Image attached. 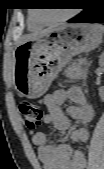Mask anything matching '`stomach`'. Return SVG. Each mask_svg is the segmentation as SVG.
Masks as SVG:
<instances>
[{
    "label": "stomach",
    "mask_w": 104,
    "mask_h": 169,
    "mask_svg": "<svg viewBox=\"0 0 104 169\" xmlns=\"http://www.w3.org/2000/svg\"><path fill=\"white\" fill-rule=\"evenodd\" d=\"M102 38L98 25L65 24L21 43L15 51V89L27 98L42 96L73 56L95 49Z\"/></svg>",
    "instance_id": "1"
}]
</instances>
